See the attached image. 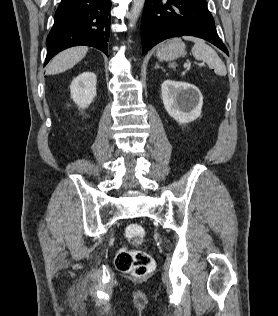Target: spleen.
I'll list each match as a JSON object with an SVG mask.
<instances>
[{
  "instance_id": "spleen-1",
  "label": "spleen",
  "mask_w": 278,
  "mask_h": 316,
  "mask_svg": "<svg viewBox=\"0 0 278 316\" xmlns=\"http://www.w3.org/2000/svg\"><path fill=\"white\" fill-rule=\"evenodd\" d=\"M183 39L194 42L192 54L197 60L206 62L209 68L214 69L215 73L218 75L225 76L227 74L226 66L216 51L207 45L203 40L192 36H183ZM174 40L180 39L174 38L172 41ZM169 66L174 68L176 67V64L171 63Z\"/></svg>"
}]
</instances>
